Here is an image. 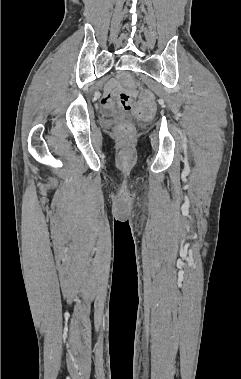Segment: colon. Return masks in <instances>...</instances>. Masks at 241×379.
I'll return each mask as SVG.
<instances>
[{
    "label": "colon",
    "instance_id": "obj_1",
    "mask_svg": "<svg viewBox=\"0 0 241 379\" xmlns=\"http://www.w3.org/2000/svg\"><path fill=\"white\" fill-rule=\"evenodd\" d=\"M119 105L123 109L136 110L137 114L140 116L150 115L153 104L150 97H142L139 99V103H132L130 96L124 92H119L116 94ZM134 128L131 123H123L118 126V132L122 136H128L132 134Z\"/></svg>",
    "mask_w": 241,
    "mask_h": 379
}]
</instances>
